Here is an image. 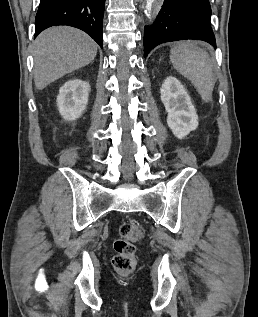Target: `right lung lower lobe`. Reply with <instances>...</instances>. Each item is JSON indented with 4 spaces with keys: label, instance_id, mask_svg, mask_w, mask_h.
Returning <instances> with one entry per match:
<instances>
[{
    "label": "right lung lower lobe",
    "instance_id": "right-lung-lower-lobe-1",
    "mask_svg": "<svg viewBox=\"0 0 258 317\" xmlns=\"http://www.w3.org/2000/svg\"><path fill=\"white\" fill-rule=\"evenodd\" d=\"M105 0H40L35 19V37L56 25L79 28L102 45Z\"/></svg>",
    "mask_w": 258,
    "mask_h": 317
}]
</instances>
